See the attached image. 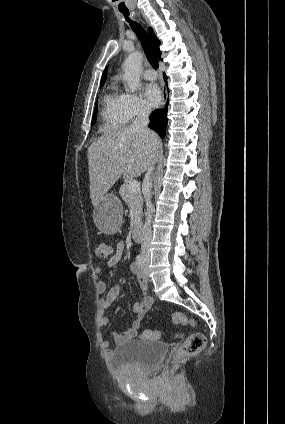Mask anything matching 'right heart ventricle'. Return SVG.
I'll list each match as a JSON object with an SVG mask.
<instances>
[{
	"instance_id": "right-heart-ventricle-1",
	"label": "right heart ventricle",
	"mask_w": 285,
	"mask_h": 424,
	"mask_svg": "<svg viewBox=\"0 0 285 424\" xmlns=\"http://www.w3.org/2000/svg\"><path fill=\"white\" fill-rule=\"evenodd\" d=\"M122 96L123 94L120 93L116 84H112L104 95L101 109V130L103 132L115 131L127 123Z\"/></svg>"
}]
</instances>
